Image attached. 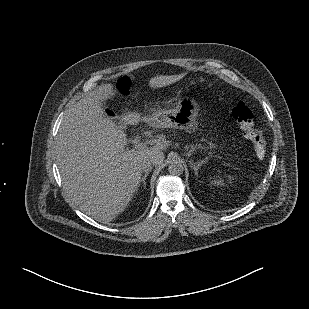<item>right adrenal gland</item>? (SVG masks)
Instances as JSON below:
<instances>
[{
    "label": "right adrenal gland",
    "mask_w": 309,
    "mask_h": 309,
    "mask_svg": "<svg viewBox=\"0 0 309 309\" xmlns=\"http://www.w3.org/2000/svg\"><path fill=\"white\" fill-rule=\"evenodd\" d=\"M148 175H149V172H146L141 179V182L143 183L144 188H146V178Z\"/></svg>",
    "instance_id": "obj_1"
}]
</instances>
